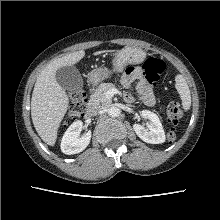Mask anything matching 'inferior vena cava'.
Here are the masks:
<instances>
[{
	"mask_svg": "<svg viewBox=\"0 0 220 220\" xmlns=\"http://www.w3.org/2000/svg\"><path fill=\"white\" fill-rule=\"evenodd\" d=\"M99 112H100V109H98V108H93L90 110L91 115H97Z\"/></svg>",
	"mask_w": 220,
	"mask_h": 220,
	"instance_id": "inferior-vena-cava-1",
	"label": "inferior vena cava"
}]
</instances>
